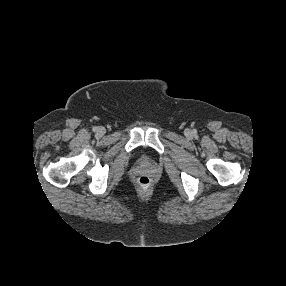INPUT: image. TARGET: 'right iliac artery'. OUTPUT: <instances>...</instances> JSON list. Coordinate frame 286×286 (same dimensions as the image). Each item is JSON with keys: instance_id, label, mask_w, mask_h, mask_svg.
<instances>
[{"instance_id": "82829eb1", "label": "right iliac artery", "mask_w": 286, "mask_h": 286, "mask_svg": "<svg viewBox=\"0 0 286 286\" xmlns=\"http://www.w3.org/2000/svg\"><path fill=\"white\" fill-rule=\"evenodd\" d=\"M97 129H98L97 127H93V129H92V130H93L94 132H96V131H97Z\"/></svg>"}]
</instances>
